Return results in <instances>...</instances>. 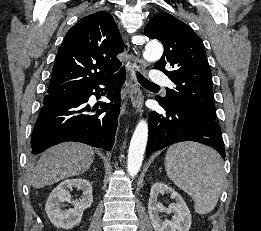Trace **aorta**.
<instances>
[{"instance_id":"obj_1","label":"aorta","mask_w":261,"mask_h":231,"mask_svg":"<svg viewBox=\"0 0 261 231\" xmlns=\"http://www.w3.org/2000/svg\"><path fill=\"white\" fill-rule=\"evenodd\" d=\"M163 55V46L158 42H150L146 45L143 57L150 62L158 61ZM148 139V124L146 120H140L133 133L127 157V171L130 176L139 172Z\"/></svg>"}]
</instances>
